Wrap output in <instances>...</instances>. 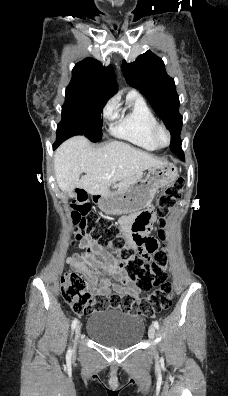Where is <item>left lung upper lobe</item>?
Wrapping results in <instances>:
<instances>
[{"label": "left lung upper lobe", "instance_id": "left-lung-upper-lobe-1", "mask_svg": "<svg viewBox=\"0 0 228 396\" xmlns=\"http://www.w3.org/2000/svg\"><path fill=\"white\" fill-rule=\"evenodd\" d=\"M122 68L127 83L142 92L169 129L170 150L180 153V158L184 160L180 140L182 116L179 114V96L174 79L167 75L162 59L147 51L133 63L123 61Z\"/></svg>", "mask_w": 228, "mask_h": 396}]
</instances>
